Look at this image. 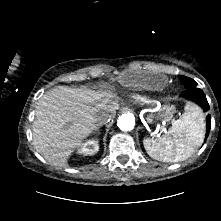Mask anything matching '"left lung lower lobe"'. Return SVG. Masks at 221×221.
Listing matches in <instances>:
<instances>
[{"label": "left lung lower lobe", "mask_w": 221, "mask_h": 221, "mask_svg": "<svg viewBox=\"0 0 221 221\" xmlns=\"http://www.w3.org/2000/svg\"><path fill=\"white\" fill-rule=\"evenodd\" d=\"M181 96L197 103L200 107H202L204 111L209 110V104L202 89H199L197 87L188 88L184 92H182ZM206 123L207 127L205 140L207 139L211 128V117L209 115L206 117Z\"/></svg>", "instance_id": "obj_1"}]
</instances>
